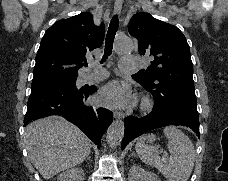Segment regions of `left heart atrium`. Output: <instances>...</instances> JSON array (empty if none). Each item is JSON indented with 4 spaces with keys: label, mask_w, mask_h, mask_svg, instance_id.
I'll list each match as a JSON object with an SVG mask.
<instances>
[{
    "label": "left heart atrium",
    "mask_w": 228,
    "mask_h": 181,
    "mask_svg": "<svg viewBox=\"0 0 228 181\" xmlns=\"http://www.w3.org/2000/svg\"><path fill=\"white\" fill-rule=\"evenodd\" d=\"M130 89L131 86L128 83L113 80L103 88L101 96L106 102L120 106L126 101L130 93Z\"/></svg>",
    "instance_id": "obj_1"
}]
</instances>
